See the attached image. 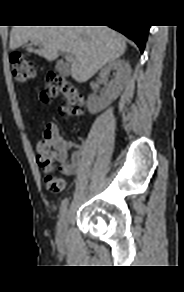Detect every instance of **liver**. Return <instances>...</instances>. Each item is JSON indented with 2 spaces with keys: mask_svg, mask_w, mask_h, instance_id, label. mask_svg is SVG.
Returning <instances> with one entry per match:
<instances>
[{
  "mask_svg": "<svg viewBox=\"0 0 184 292\" xmlns=\"http://www.w3.org/2000/svg\"><path fill=\"white\" fill-rule=\"evenodd\" d=\"M33 41L39 49L28 47L48 61L57 59L59 51L73 56L70 74L79 82L90 79L105 64L124 54V37L107 26H14L9 47L14 50Z\"/></svg>",
  "mask_w": 184,
  "mask_h": 292,
  "instance_id": "1",
  "label": "liver"
}]
</instances>
